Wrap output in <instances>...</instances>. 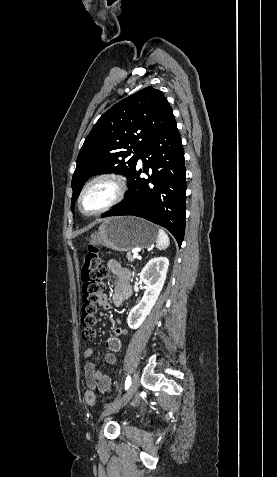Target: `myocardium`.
I'll use <instances>...</instances> for the list:
<instances>
[{
  "mask_svg": "<svg viewBox=\"0 0 277 477\" xmlns=\"http://www.w3.org/2000/svg\"><path fill=\"white\" fill-rule=\"evenodd\" d=\"M102 181L110 182L113 185L114 194H113L112 198L105 205L100 207L99 209H97L95 211H92V212H86L83 209V205H82L83 198H84L85 194L87 193V191L93 185H95L96 183L102 182ZM126 191H127L126 182H125V179L121 175H119L117 173H113V172H104V173L97 174V175L93 176L91 179H89L83 185L82 189L80 190V193H79L78 198H77L78 210L81 214H83L85 216L101 215V214L111 210L112 208L117 206L119 203H121L122 200L125 197Z\"/></svg>",
  "mask_w": 277,
  "mask_h": 477,
  "instance_id": "myocardium-1",
  "label": "myocardium"
}]
</instances>
